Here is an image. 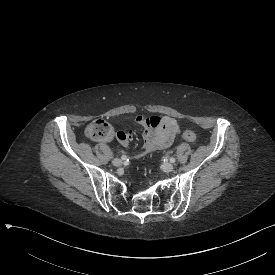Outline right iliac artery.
<instances>
[{
  "mask_svg": "<svg viewBox=\"0 0 275 275\" xmlns=\"http://www.w3.org/2000/svg\"><path fill=\"white\" fill-rule=\"evenodd\" d=\"M122 159L125 160V156H122Z\"/></svg>",
  "mask_w": 275,
  "mask_h": 275,
  "instance_id": "1",
  "label": "right iliac artery"
}]
</instances>
